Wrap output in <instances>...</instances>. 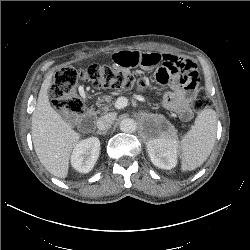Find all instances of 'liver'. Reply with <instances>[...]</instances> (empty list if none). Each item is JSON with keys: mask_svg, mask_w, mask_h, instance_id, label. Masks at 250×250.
I'll use <instances>...</instances> for the list:
<instances>
[{"mask_svg": "<svg viewBox=\"0 0 250 250\" xmlns=\"http://www.w3.org/2000/svg\"><path fill=\"white\" fill-rule=\"evenodd\" d=\"M53 72L42 83L36 108L32 114V141L45 169L58 178H66L70 154L81 134L66 122L50 104L48 90Z\"/></svg>", "mask_w": 250, "mask_h": 250, "instance_id": "obj_1", "label": "liver"}]
</instances>
